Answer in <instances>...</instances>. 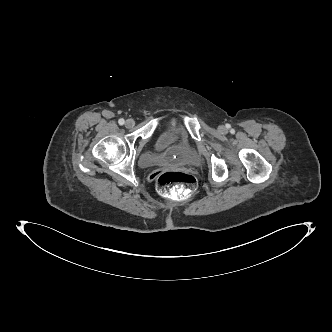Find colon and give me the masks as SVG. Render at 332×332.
<instances>
[{
    "instance_id": "5ec220e1",
    "label": "colon",
    "mask_w": 332,
    "mask_h": 332,
    "mask_svg": "<svg viewBox=\"0 0 332 332\" xmlns=\"http://www.w3.org/2000/svg\"><path fill=\"white\" fill-rule=\"evenodd\" d=\"M155 186L165 196L176 199H184L191 196L196 188V178L188 172L183 171H161L156 173Z\"/></svg>"
}]
</instances>
